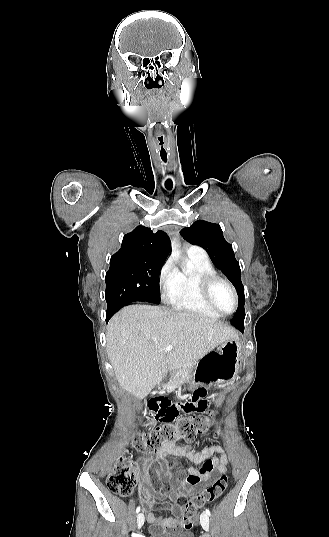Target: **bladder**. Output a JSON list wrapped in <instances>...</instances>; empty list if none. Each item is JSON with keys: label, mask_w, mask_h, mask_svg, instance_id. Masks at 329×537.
Returning <instances> with one entry per match:
<instances>
[{"label": "bladder", "mask_w": 329, "mask_h": 537, "mask_svg": "<svg viewBox=\"0 0 329 537\" xmlns=\"http://www.w3.org/2000/svg\"><path fill=\"white\" fill-rule=\"evenodd\" d=\"M149 537H195L191 531H163L153 532Z\"/></svg>", "instance_id": "bladder-1"}]
</instances>
